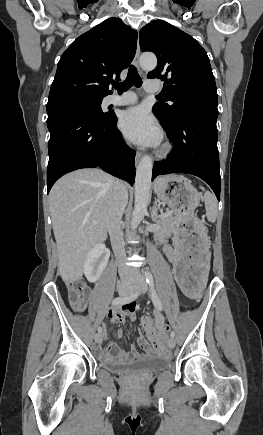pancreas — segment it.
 I'll use <instances>...</instances> for the list:
<instances>
[{"label": "pancreas", "mask_w": 263, "mask_h": 435, "mask_svg": "<svg viewBox=\"0 0 263 435\" xmlns=\"http://www.w3.org/2000/svg\"><path fill=\"white\" fill-rule=\"evenodd\" d=\"M179 210H172L170 214L161 217L158 223L162 226V229L156 233L155 237L158 239L166 238L170 232L173 230V226L176 222H178L182 217L174 216V214L178 213Z\"/></svg>", "instance_id": "obj_1"}]
</instances>
